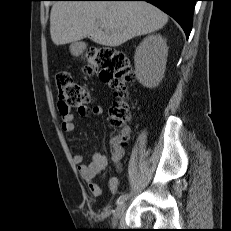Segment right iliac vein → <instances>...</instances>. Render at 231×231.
<instances>
[{"label":"right iliac vein","instance_id":"obj_1","mask_svg":"<svg viewBox=\"0 0 231 231\" xmlns=\"http://www.w3.org/2000/svg\"><path fill=\"white\" fill-rule=\"evenodd\" d=\"M125 209H126V203L125 202H122V203L118 204V206L116 207V209H115V211L113 213V217H112V225L114 227L117 225L118 220L123 215Z\"/></svg>","mask_w":231,"mask_h":231}]
</instances>
